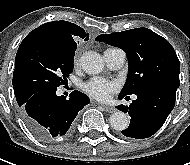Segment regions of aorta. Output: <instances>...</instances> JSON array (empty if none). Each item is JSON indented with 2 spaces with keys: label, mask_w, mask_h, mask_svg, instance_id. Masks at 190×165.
I'll use <instances>...</instances> for the list:
<instances>
[{
  "label": "aorta",
  "mask_w": 190,
  "mask_h": 165,
  "mask_svg": "<svg viewBox=\"0 0 190 165\" xmlns=\"http://www.w3.org/2000/svg\"><path fill=\"white\" fill-rule=\"evenodd\" d=\"M80 63L82 69L92 75L100 73L104 67L100 54L93 51L84 53ZM110 125L115 130H125L129 126V118L125 113L117 111L110 116Z\"/></svg>",
  "instance_id": "aorta-1"
}]
</instances>
